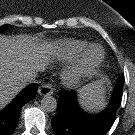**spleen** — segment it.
<instances>
[{"mask_svg": "<svg viewBox=\"0 0 135 135\" xmlns=\"http://www.w3.org/2000/svg\"><path fill=\"white\" fill-rule=\"evenodd\" d=\"M106 81L96 80L79 90V102L81 106L89 111L101 110L106 104Z\"/></svg>", "mask_w": 135, "mask_h": 135, "instance_id": "obj_1", "label": "spleen"}]
</instances>
